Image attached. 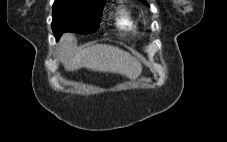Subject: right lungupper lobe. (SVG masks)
Returning <instances> with one entry per match:
<instances>
[{
  "label": "right lung upper lobe",
  "mask_w": 227,
  "mask_h": 142,
  "mask_svg": "<svg viewBox=\"0 0 227 142\" xmlns=\"http://www.w3.org/2000/svg\"><path fill=\"white\" fill-rule=\"evenodd\" d=\"M86 1L98 2V3H104L105 2V0H86Z\"/></svg>",
  "instance_id": "obj_1"
}]
</instances>
